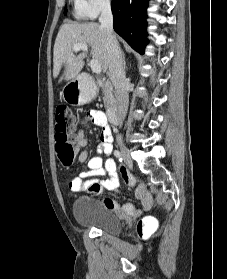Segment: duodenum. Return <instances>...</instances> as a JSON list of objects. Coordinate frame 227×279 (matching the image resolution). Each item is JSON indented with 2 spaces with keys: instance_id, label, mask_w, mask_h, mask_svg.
I'll return each instance as SVG.
<instances>
[{
  "instance_id": "410a0bca",
  "label": "duodenum",
  "mask_w": 227,
  "mask_h": 279,
  "mask_svg": "<svg viewBox=\"0 0 227 279\" xmlns=\"http://www.w3.org/2000/svg\"><path fill=\"white\" fill-rule=\"evenodd\" d=\"M91 100H88L86 102H84L83 104H87L90 103ZM108 118L110 120L111 123L113 124H118L119 123V110L115 109V108H110L107 112Z\"/></svg>"
}]
</instances>
